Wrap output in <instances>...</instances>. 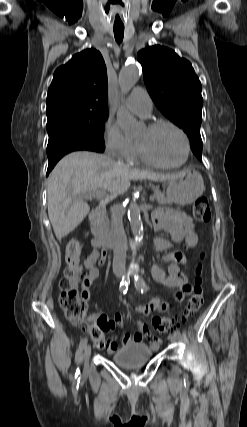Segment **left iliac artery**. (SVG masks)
Instances as JSON below:
<instances>
[{
	"instance_id": "1",
	"label": "left iliac artery",
	"mask_w": 247,
	"mask_h": 427,
	"mask_svg": "<svg viewBox=\"0 0 247 427\" xmlns=\"http://www.w3.org/2000/svg\"><path fill=\"white\" fill-rule=\"evenodd\" d=\"M134 280H135V282H134V284H135V287H136V289L138 290V291H140L141 293H145L146 291H147V286H146V284H145V281H144V279L143 278H141V277H139L138 275H136V276H134ZM177 336H180L181 335V333H180V331L177 329V330H175V332H174Z\"/></svg>"
}]
</instances>
